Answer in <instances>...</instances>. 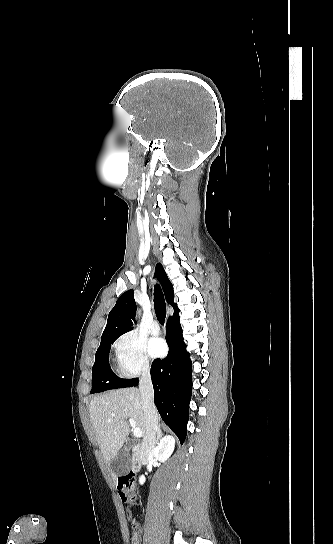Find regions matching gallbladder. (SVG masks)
<instances>
[{
	"label": "gallbladder",
	"instance_id": "obj_1",
	"mask_svg": "<svg viewBox=\"0 0 333 544\" xmlns=\"http://www.w3.org/2000/svg\"><path fill=\"white\" fill-rule=\"evenodd\" d=\"M133 446L131 442L126 444L125 449L120 450L117 455L111 460V468L117 475H125L132 465L129 449Z\"/></svg>",
	"mask_w": 333,
	"mask_h": 544
}]
</instances>
